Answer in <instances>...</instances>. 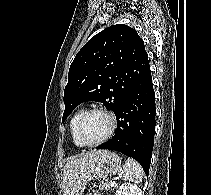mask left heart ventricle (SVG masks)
Listing matches in <instances>:
<instances>
[{"label":"left heart ventricle","mask_w":211,"mask_h":195,"mask_svg":"<svg viewBox=\"0 0 211 195\" xmlns=\"http://www.w3.org/2000/svg\"><path fill=\"white\" fill-rule=\"evenodd\" d=\"M110 127L109 118L100 112H93L84 117L80 125V138L85 143L100 140Z\"/></svg>","instance_id":"left-heart-ventricle-1"}]
</instances>
